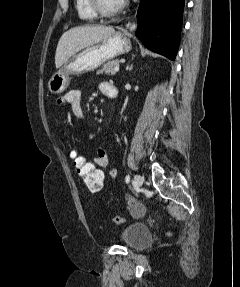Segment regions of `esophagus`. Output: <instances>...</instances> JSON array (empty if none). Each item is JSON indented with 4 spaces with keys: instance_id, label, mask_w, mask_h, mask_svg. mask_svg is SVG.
<instances>
[{
    "instance_id": "1",
    "label": "esophagus",
    "mask_w": 240,
    "mask_h": 287,
    "mask_svg": "<svg viewBox=\"0 0 240 287\" xmlns=\"http://www.w3.org/2000/svg\"><path fill=\"white\" fill-rule=\"evenodd\" d=\"M137 25L133 22L130 26H129V30L130 31H134L136 29Z\"/></svg>"
}]
</instances>
